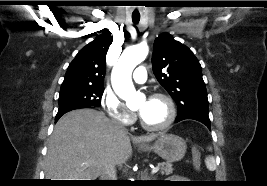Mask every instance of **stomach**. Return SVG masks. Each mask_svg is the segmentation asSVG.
I'll return each instance as SVG.
<instances>
[{"label":"stomach","mask_w":267,"mask_h":186,"mask_svg":"<svg viewBox=\"0 0 267 186\" xmlns=\"http://www.w3.org/2000/svg\"><path fill=\"white\" fill-rule=\"evenodd\" d=\"M140 149L154 151L162 159L168 162H175L184 157L187 146L181 137L164 133L157 137L153 145H141Z\"/></svg>","instance_id":"0dacf381"}]
</instances>
